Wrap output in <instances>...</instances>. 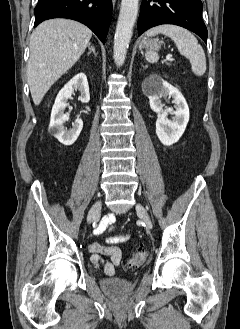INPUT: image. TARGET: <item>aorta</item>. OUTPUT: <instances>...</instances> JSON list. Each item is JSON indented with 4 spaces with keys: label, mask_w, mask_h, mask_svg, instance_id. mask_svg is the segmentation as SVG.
I'll return each instance as SVG.
<instances>
[{
    "label": "aorta",
    "mask_w": 240,
    "mask_h": 329,
    "mask_svg": "<svg viewBox=\"0 0 240 329\" xmlns=\"http://www.w3.org/2000/svg\"><path fill=\"white\" fill-rule=\"evenodd\" d=\"M139 0H122L119 18L114 37V60L118 67L122 66L131 41L133 27L138 14Z\"/></svg>",
    "instance_id": "obj_1"
}]
</instances>
